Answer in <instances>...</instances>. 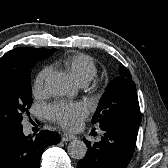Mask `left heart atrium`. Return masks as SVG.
Returning <instances> with one entry per match:
<instances>
[{
    "mask_svg": "<svg viewBox=\"0 0 168 168\" xmlns=\"http://www.w3.org/2000/svg\"><path fill=\"white\" fill-rule=\"evenodd\" d=\"M50 119L62 127L75 130L88 115L87 106L81 102H62L49 107Z\"/></svg>",
    "mask_w": 168,
    "mask_h": 168,
    "instance_id": "39dd6f15",
    "label": "left heart atrium"
}]
</instances>
